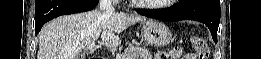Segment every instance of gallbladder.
Returning <instances> with one entry per match:
<instances>
[{"label":"gallbladder","instance_id":"1","mask_svg":"<svg viewBox=\"0 0 261 59\" xmlns=\"http://www.w3.org/2000/svg\"><path fill=\"white\" fill-rule=\"evenodd\" d=\"M85 57L83 55H77L76 59H84Z\"/></svg>","mask_w":261,"mask_h":59}]
</instances>
